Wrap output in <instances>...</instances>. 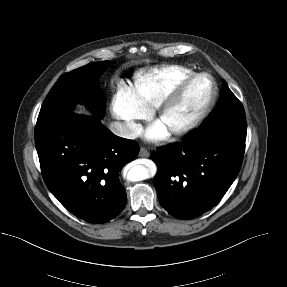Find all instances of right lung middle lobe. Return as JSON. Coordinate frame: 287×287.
<instances>
[{"label": "right lung middle lobe", "instance_id": "obj_1", "mask_svg": "<svg viewBox=\"0 0 287 287\" xmlns=\"http://www.w3.org/2000/svg\"><path fill=\"white\" fill-rule=\"evenodd\" d=\"M108 64L109 61L91 63L61 76L44 100L36 125L65 116L76 102L85 103L94 114L102 117L106 98L98 88V79Z\"/></svg>", "mask_w": 287, "mask_h": 287}]
</instances>
